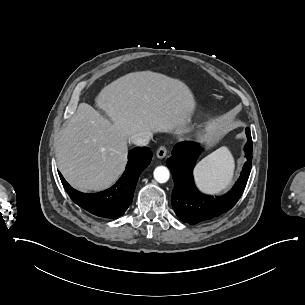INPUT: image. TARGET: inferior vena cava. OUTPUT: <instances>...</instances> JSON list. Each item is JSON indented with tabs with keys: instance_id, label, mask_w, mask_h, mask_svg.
<instances>
[{
	"instance_id": "inferior-vena-cava-1",
	"label": "inferior vena cava",
	"mask_w": 305,
	"mask_h": 305,
	"mask_svg": "<svg viewBox=\"0 0 305 305\" xmlns=\"http://www.w3.org/2000/svg\"><path fill=\"white\" fill-rule=\"evenodd\" d=\"M151 139V133L142 131L130 136L129 140L136 146H147Z\"/></svg>"
}]
</instances>
